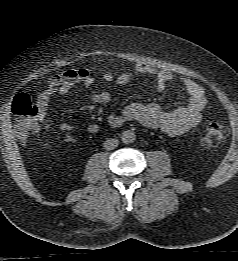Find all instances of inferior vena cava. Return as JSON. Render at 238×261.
Returning a JSON list of instances; mask_svg holds the SVG:
<instances>
[{
  "mask_svg": "<svg viewBox=\"0 0 238 261\" xmlns=\"http://www.w3.org/2000/svg\"><path fill=\"white\" fill-rule=\"evenodd\" d=\"M118 146V140L117 139H108L103 143V147L106 150H113Z\"/></svg>",
  "mask_w": 238,
  "mask_h": 261,
  "instance_id": "602c4592",
  "label": "inferior vena cava"
}]
</instances>
